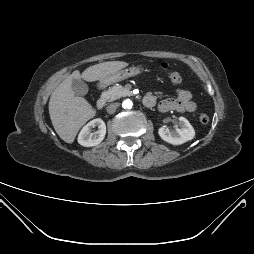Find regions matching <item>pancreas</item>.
<instances>
[{
	"label": "pancreas",
	"instance_id": "cf45deb5",
	"mask_svg": "<svg viewBox=\"0 0 254 254\" xmlns=\"http://www.w3.org/2000/svg\"><path fill=\"white\" fill-rule=\"evenodd\" d=\"M130 95L131 92L128 88L123 87L121 85H115L113 87H110L108 90L104 91L101 96L108 102H111L121 97Z\"/></svg>",
	"mask_w": 254,
	"mask_h": 254
}]
</instances>
